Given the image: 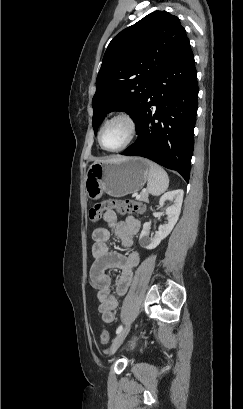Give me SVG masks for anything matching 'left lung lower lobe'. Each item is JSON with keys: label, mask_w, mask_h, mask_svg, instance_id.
<instances>
[{"label": "left lung lower lobe", "mask_w": 243, "mask_h": 409, "mask_svg": "<svg viewBox=\"0 0 243 409\" xmlns=\"http://www.w3.org/2000/svg\"><path fill=\"white\" fill-rule=\"evenodd\" d=\"M197 99L196 68L187 39L154 80L134 121L138 138L122 155L146 157L179 172L188 182Z\"/></svg>", "instance_id": "0a47b994"}]
</instances>
